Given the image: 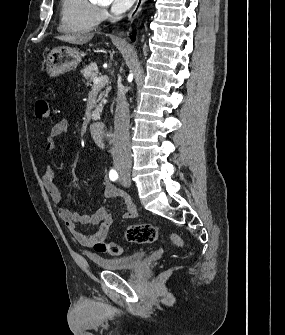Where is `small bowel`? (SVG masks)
<instances>
[{
	"label": "small bowel",
	"mask_w": 285,
	"mask_h": 335,
	"mask_svg": "<svg viewBox=\"0 0 285 335\" xmlns=\"http://www.w3.org/2000/svg\"><path fill=\"white\" fill-rule=\"evenodd\" d=\"M69 130V122L66 119L59 120L50 129L45 142L44 149L51 153L56 148L55 138L64 135ZM55 169L48 165L41 174V182L49 194L52 202L58 206V215L65 222L68 231L73 238L84 247H93L97 240H105L113 217L109 209L100 206L91 214H79L61 207V194L53 181ZM104 201L110 199H120L124 204L123 219H133L137 216V209L131 197L124 191L116 188L108 179L107 172L104 173ZM98 225V231L94 234H86L79 229V225Z\"/></svg>",
	"instance_id": "1"
}]
</instances>
